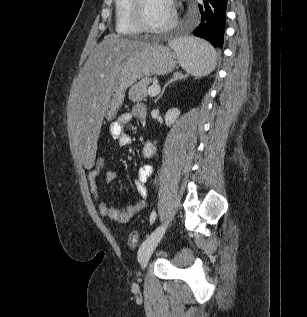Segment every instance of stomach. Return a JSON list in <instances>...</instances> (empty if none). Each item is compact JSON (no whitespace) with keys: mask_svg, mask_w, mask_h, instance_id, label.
I'll return each mask as SVG.
<instances>
[{"mask_svg":"<svg viewBox=\"0 0 307 317\" xmlns=\"http://www.w3.org/2000/svg\"><path fill=\"white\" fill-rule=\"evenodd\" d=\"M177 65L175 53L161 44L147 45L130 54L120 65L115 86L107 103L105 116L114 119L121 107L125 92L137 80L153 75H165Z\"/></svg>","mask_w":307,"mask_h":317,"instance_id":"obj_1","label":"stomach"}]
</instances>
